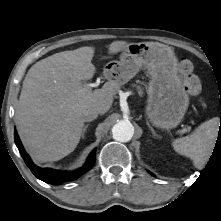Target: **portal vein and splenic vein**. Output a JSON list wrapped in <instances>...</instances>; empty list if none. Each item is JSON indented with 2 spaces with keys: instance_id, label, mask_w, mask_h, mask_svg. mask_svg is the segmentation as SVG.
Segmentation results:
<instances>
[{
  "instance_id": "1",
  "label": "portal vein and splenic vein",
  "mask_w": 221,
  "mask_h": 221,
  "mask_svg": "<svg viewBox=\"0 0 221 221\" xmlns=\"http://www.w3.org/2000/svg\"><path fill=\"white\" fill-rule=\"evenodd\" d=\"M88 87H94V84H87Z\"/></svg>"
}]
</instances>
